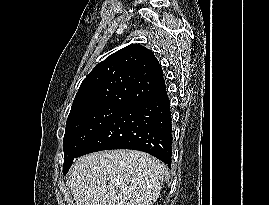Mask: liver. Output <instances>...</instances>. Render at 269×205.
I'll return each mask as SVG.
<instances>
[{
  "label": "liver",
  "mask_w": 269,
  "mask_h": 205,
  "mask_svg": "<svg viewBox=\"0 0 269 205\" xmlns=\"http://www.w3.org/2000/svg\"><path fill=\"white\" fill-rule=\"evenodd\" d=\"M164 165L135 150H110L78 158L69 175L76 205H153Z\"/></svg>",
  "instance_id": "1"
}]
</instances>
